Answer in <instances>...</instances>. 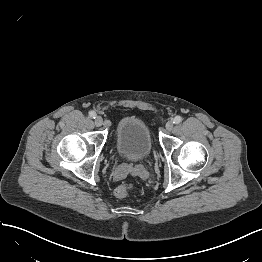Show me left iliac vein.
Wrapping results in <instances>:
<instances>
[{"instance_id": "obj_1", "label": "left iliac vein", "mask_w": 262, "mask_h": 262, "mask_svg": "<svg viewBox=\"0 0 262 262\" xmlns=\"http://www.w3.org/2000/svg\"><path fill=\"white\" fill-rule=\"evenodd\" d=\"M165 127H166V130H168V131L172 130V128H173V123H172V121H168V122L166 123Z\"/></svg>"}]
</instances>
